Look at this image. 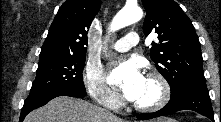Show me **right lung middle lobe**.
I'll return each instance as SVG.
<instances>
[{
  "instance_id": "dd1d6c3e",
  "label": "right lung middle lobe",
  "mask_w": 221,
  "mask_h": 122,
  "mask_svg": "<svg viewBox=\"0 0 221 122\" xmlns=\"http://www.w3.org/2000/svg\"><path fill=\"white\" fill-rule=\"evenodd\" d=\"M83 57H52L40 59L30 93L68 87L85 91L82 72Z\"/></svg>"
}]
</instances>
